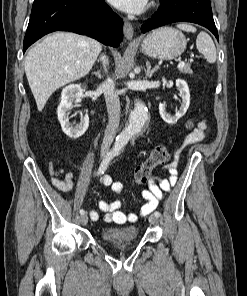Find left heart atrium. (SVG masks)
Segmentation results:
<instances>
[{
    "instance_id": "39dd6f15",
    "label": "left heart atrium",
    "mask_w": 247,
    "mask_h": 296,
    "mask_svg": "<svg viewBox=\"0 0 247 296\" xmlns=\"http://www.w3.org/2000/svg\"><path fill=\"white\" fill-rule=\"evenodd\" d=\"M114 7L124 12L139 14L143 12L147 5L148 0H108Z\"/></svg>"
}]
</instances>
